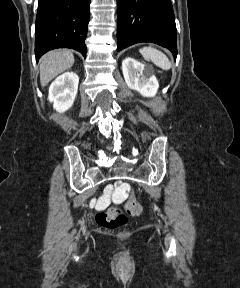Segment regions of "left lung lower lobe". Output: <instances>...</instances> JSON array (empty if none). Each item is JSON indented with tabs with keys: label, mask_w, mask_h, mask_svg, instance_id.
Wrapping results in <instances>:
<instances>
[{
	"label": "left lung lower lobe",
	"mask_w": 240,
	"mask_h": 288,
	"mask_svg": "<svg viewBox=\"0 0 240 288\" xmlns=\"http://www.w3.org/2000/svg\"><path fill=\"white\" fill-rule=\"evenodd\" d=\"M117 51L140 42L168 48L177 56L176 24L170 0H117Z\"/></svg>",
	"instance_id": "1"
}]
</instances>
